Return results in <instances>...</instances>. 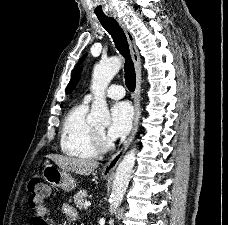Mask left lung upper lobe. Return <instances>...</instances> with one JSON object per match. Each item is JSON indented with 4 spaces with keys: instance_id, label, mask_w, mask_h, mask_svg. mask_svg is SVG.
<instances>
[{
    "instance_id": "left-lung-upper-lobe-1",
    "label": "left lung upper lobe",
    "mask_w": 228,
    "mask_h": 225,
    "mask_svg": "<svg viewBox=\"0 0 228 225\" xmlns=\"http://www.w3.org/2000/svg\"><path fill=\"white\" fill-rule=\"evenodd\" d=\"M85 56H86V55H84V56L80 59L79 63L76 65V67H75V69H74V71H73V74H72L71 81H70V83L68 84L67 92L69 91V89H70V87H71V85H72V83H73V80H74L75 75H76V72H77V68H78L79 64L84 60Z\"/></svg>"
}]
</instances>
